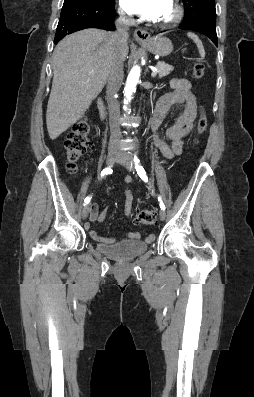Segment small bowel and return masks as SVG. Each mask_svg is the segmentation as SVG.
<instances>
[{
  "label": "small bowel",
  "mask_w": 254,
  "mask_h": 397,
  "mask_svg": "<svg viewBox=\"0 0 254 397\" xmlns=\"http://www.w3.org/2000/svg\"><path fill=\"white\" fill-rule=\"evenodd\" d=\"M170 87L172 88V92L163 95L157 101L151 122V128L154 132L155 146L160 150L162 155L168 159H172L182 153L183 139L192 129L197 115V103L194 94L191 92V83L186 79H173L170 82ZM174 104H184L185 109L182 115L177 119L176 123L166 129V136L171 140V144L168 145L156 135V131L160 127L169 109ZM124 182L127 185L125 189V213L126 215L131 216L133 194L128 185L132 182V177L127 175ZM104 218L105 212L100 213L98 205L92 204L90 207V222L101 223ZM90 222L85 224V229L94 241L99 243L115 242L114 238L103 237L98 234L92 229ZM127 236L131 240L140 239V234L138 232H130ZM152 239L153 236L148 238V240Z\"/></svg>",
  "instance_id": "1"
}]
</instances>
